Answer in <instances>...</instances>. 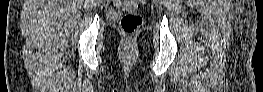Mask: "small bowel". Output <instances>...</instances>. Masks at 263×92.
Segmentation results:
<instances>
[{
  "label": "small bowel",
  "mask_w": 263,
  "mask_h": 92,
  "mask_svg": "<svg viewBox=\"0 0 263 92\" xmlns=\"http://www.w3.org/2000/svg\"><path fill=\"white\" fill-rule=\"evenodd\" d=\"M130 3L135 4L136 6H140L142 3H139L137 1H131Z\"/></svg>",
  "instance_id": "1"
}]
</instances>
